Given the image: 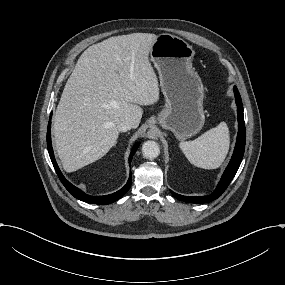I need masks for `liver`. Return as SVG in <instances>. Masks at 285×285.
<instances>
[{
	"mask_svg": "<svg viewBox=\"0 0 285 285\" xmlns=\"http://www.w3.org/2000/svg\"><path fill=\"white\" fill-rule=\"evenodd\" d=\"M155 34L111 37L81 55L54 116L58 154L68 172L105 156L119 137L117 124L128 117L137 128L139 106L160 101L150 52Z\"/></svg>",
	"mask_w": 285,
	"mask_h": 285,
	"instance_id": "liver-1",
	"label": "liver"
}]
</instances>
